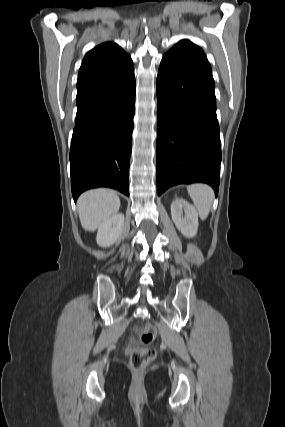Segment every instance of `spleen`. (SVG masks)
<instances>
[{
	"label": "spleen",
	"instance_id": "1",
	"mask_svg": "<svg viewBox=\"0 0 285 427\" xmlns=\"http://www.w3.org/2000/svg\"><path fill=\"white\" fill-rule=\"evenodd\" d=\"M194 206L202 220H205L212 206L214 192L212 188L206 184H192L187 187Z\"/></svg>",
	"mask_w": 285,
	"mask_h": 427
}]
</instances>
